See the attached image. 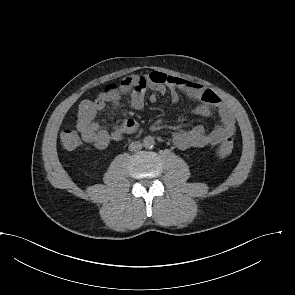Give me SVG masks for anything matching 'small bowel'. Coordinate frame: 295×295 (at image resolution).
<instances>
[{
	"label": "small bowel",
	"instance_id": "1",
	"mask_svg": "<svg viewBox=\"0 0 295 295\" xmlns=\"http://www.w3.org/2000/svg\"><path fill=\"white\" fill-rule=\"evenodd\" d=\"M150 90L151 102H156L158 94L170 92L173 103L179 100V91L196 102L193 112L201 116H209L215 112L220 117V124L207 132L203 125L189 130L175 131L172 134L173 144L180 150L202 148L222 143L231 138L235 132V119L230 108L211 89L186 79L151 72L146 75H132L124 78L118 86H112L99 93L93 100H83L79 104L76 127L84 142L98 149H104L111 141H120L125 135L137 130V122L132 118L118 119L113 129H102L95 120L96 114L108 104L119 106L124 95H130V106L135 110L144 107L145 94Z\"/></svg>",
	"mask_w": 295,
	"mask_h": 295
}]
</instances>
